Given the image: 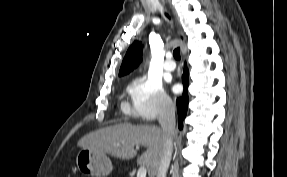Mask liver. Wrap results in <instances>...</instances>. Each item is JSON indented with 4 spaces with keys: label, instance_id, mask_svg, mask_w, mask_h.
<instances>
[{
    "label": "liver",
    "instance_id": "obj_1",
    "mask_svg": "<svg viewBox=\"0 0 287 177\" xmlns=\"http://www.w3.org/2000/svg\"><path fill=\"white\" fill-rule=\"evenodd\" d=\"M140 145L147 147V150L138 158L137 164L147 168L149 177H155L163 147V133L156 126L120 123L89 133L78 142L81 148L107 153L123 160L136 156L134 146Z\"/></svg>",
    "mask_w": 287,
    "mask_h": 177
}]
</instances>
